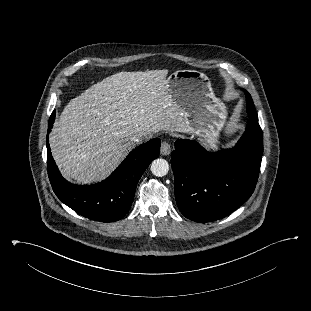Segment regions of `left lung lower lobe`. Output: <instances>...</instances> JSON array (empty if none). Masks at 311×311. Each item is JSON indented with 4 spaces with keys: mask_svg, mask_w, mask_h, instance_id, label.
<instances>
[{
    "mask_svg": "<svg viewBox=\"0 0 311 311\" xmlns=\"http://www.w3.org/2000/svg\"><path fill=\"white\" fill-rule=\"evenodd\" d=\"M262 155L263 133L255 117L234 148L213 153L195 141L177 140L171 166L180 212L205 223L235 211L255 189Z\"/></svg>",
    "mask_w": 311,
    "mask_h": 311,
    "instance_id": "1",
    "label": "left lung lower lobe"
}]
</instances>
